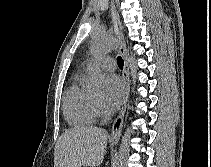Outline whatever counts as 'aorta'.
<instances>
[{
    "label": "aorta",
    "instance_id": "aorta-1",
    "mask_svg": "<svg viewBox=\"0 0 211 167\" xmlns=\"http://www.w3.org/2000/svg\"><path fill=\"white\" fill-rule=\"evenodd\" d=\"M118 47V42L115 38L107 35L99 36L93 43L91 47V54L95 58H99ZM130 62V70L131 76L133 77V82L135 84L137 78V70L138 67L135 63V59L131 57L129 59ZM106 84V76L99 70V68H95L91 77V86L96 89L100 90ZM130 130L124 133L122 137V142L120 146V150L115 162L114 167H126L127 159L130 152Z\"/></svg>",
    "mask_w": 211,
    "mask_h": 167
}]
</instances>
